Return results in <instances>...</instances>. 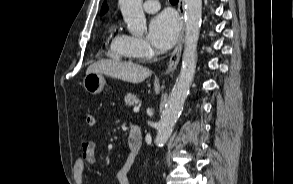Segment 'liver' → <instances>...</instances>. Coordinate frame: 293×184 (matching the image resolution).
<instances>
[{
  "instance_id": "6515ba94",
  "label": "liver",
  "mask_w": 293,
  "mask_h": 184,
  "mask_svg": "<svg viewBox=\"0 0 293 184\" xmlns=\"http://www.w3.org/2000/svg\"><path fill=\"white\" fill-rule=\"evenodd\" d=\"M89 73H101L130 83H141L151 76V71L132 62L114 61L110 59L99 60L91 64L86 71Z\"/></svg>"
}]
</instances>
